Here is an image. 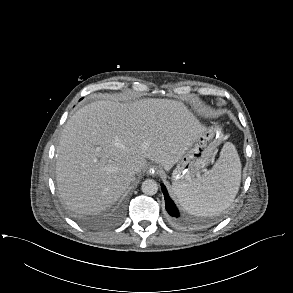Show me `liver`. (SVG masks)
<instances>
[{
    "instance_id": "6515ba94",
    "label": "liver",
    "mask_w": 293,
    "mask_h": 293,
    "mask_svg": "<svg viewBox=\"0 0 293 293\" xmlns=\"http://www.w3.org/2000/svg\"><path fill=\"white\" fill-rule=\"evenodd\" d=\"M205 127L176 100L95 101L65 124L57 150L56 181L71 211L98 213L135 180L132 164L146 159L170 169Z\"/></svg>"
}]
</instances>
